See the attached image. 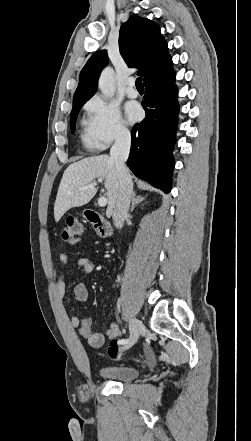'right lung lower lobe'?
Listing matches in <instances>:
<instances>
[{"mask_svg":"<svg viewBox=\"0 0 251 441\" xmlns=\"http://www.w3.org/2000/svg\"><path fill=\"white\" fill-rule=\"evenodd\" d=\"M175 72L170 66L144 82L146 117L131 131L128 167L139 178L169 193L171 190L178 104Z\"/></svg>","mask_w":251,"mask_h":441,"instance_id":"98d812e1","label":"right lung lower lobe"}]
</instances>
